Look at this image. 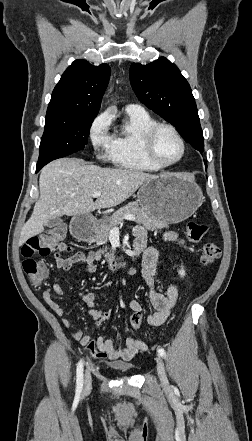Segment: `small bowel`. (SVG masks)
<instances>
[{
  "label": "small bowel",
  "instance_id": "small-bowel-1",
  "mask_svg": "<svg viewBox=\"0 0 252 441\" xmlns=\"http://www.w3.org/2000/svg\"><path fill=\"white\" fill-rule=\"evenodd\" d=\"M164 238L168 241L178 242L183 245L184 241L178 237L175 232H166ZM135 246L141 247L144 250V257L141 270V279L149 288V302L150 310L147 315V322L153 328H159L162 326L169 317L171 310L176 304L178 299V288L176 285L171 284L168 286L165 293H161L154 288V276L156 273L158 253L155 248L147 245V236L142 228L135 230ZM69 250L67 247L65 251ZM64 252V251H62ZM62 252H56L55 254V266L56 268L68 271L74 264H83L88 273H94L97 270L96 259L99 256L98 252H91L85 255L81 252H77L72 256L65 258L62 256ZM52 292L63 295V288L58 282L52 285L51 289H47L43 292V299L46 304L54 311V313L62 318V323L66 327H71L72 322L64 318L65 310L53 300ZM81 299L88 307L87 314L93 319L98 320L101 315V311L96 308V296L94 293H82ZM129 308L131 311H142V306L137 300H131L129 302ZM72 337L75 340L85 344L89 341V336L84 335L80 329H76L72 332ZM98 349L105 354V357L109 359H122L124 361H130L138 353L146 351L147 345L135 338L129 337L126 340V344L123 347H117L112 339L105 336H100L97 339Z\"/></svg>",
  "mask_w": 252,
  "mask_h": 441
}]
</instances>
